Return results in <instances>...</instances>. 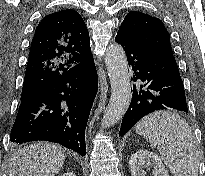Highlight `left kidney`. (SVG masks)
I'll return each instance as SVG.
<instances>
[{
	"label": "left kidney",
	"mask_w": 205,
	"mask_h": 176,
	"mask_svg": "<svg viewBox=\"0 0 205 176\" xmlns=\"http://www.w3.org/2000/svg\"><path fill=\"white\" fill-rule=\"evenodd\" d=\"M132 176H146L143 167L151 166L153 168L154 176H169L160 157L148 150L140 149L132 154L129 160Z\"/></svg>",
	"instance_id": "obj_1"
}]
</instances>
